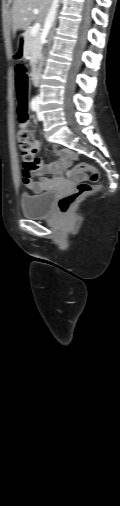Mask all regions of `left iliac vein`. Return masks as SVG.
Masks as SVG:
<instances>
[{
    "mask_svg": "<svg viewBox=\"0 0 120 506\" xmlns=\"http://www.w3.org/2000/svg\"><path fill=\"white\" fill-rule=\"evenodd\" d=\"M37 118H38V120H43V116L40 114V111H39V105H38V109H37Z\"/></svg>",
    "mask_w": 120,
    "mask_h": 506,
    "instance_id": "1",
    "label": "left iliac vein"
}]
</instances>
